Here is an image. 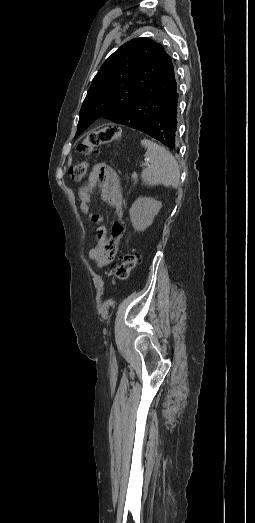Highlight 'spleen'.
<instances>
[{"instance_id": "1", "label": "spleen", "mask_w": 255, "mask_h": 523, "mask_svg": "<svg viewBox=\"0 0 255 523\" xmlns=\"http://www.w3.org/2000/svg\"><path fill=\"white\" fill-rule=\"evenodd\" d=\"M141 144L147 148L145 158L149 162L148 168H145L141 174L145 186L164 184V186L178 188L180 168L174 156L151 140H141Z\"/></svg>"}]
</instances>
